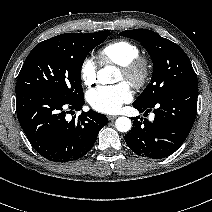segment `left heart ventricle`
<instances>
[{"label": "left heart ventricle", "mask_w": 212, "mask_h": 212, "mask_svg": "<svg viewBox=\"0 0 212 212\" xmlns=\"http://www.w3.org/2000/svg\"><path fill=\"white\" fill-rule=\"evenodd\" d=\"M125 80V77L123 75V73L121 71H119L118 75H117V81H123Z\"/></svg>", "instance_id": "1"}]
</instances>
